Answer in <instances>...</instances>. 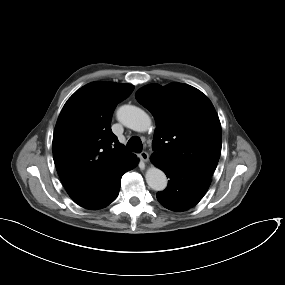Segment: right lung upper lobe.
Wrapping results in <instances>:
<instances>
[{"mask_svg":"<svg viewBox=\"0 0 285 285\" xmlns=\"http://www.w3.org/2000/svg\"><path fill=\"white\" fill-rule=\"evenodd\" d=\"M133 90L130 84L89 83L68 99L59 115L54 163L67 193L82 207L103 198L136 158L111 131L115 107Z\"/></svg>","mask_w":285,"mask_h":285,"instance_id":"obj_1","label":"right lung upper lobe"}]
</instances>
